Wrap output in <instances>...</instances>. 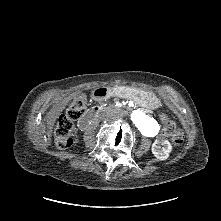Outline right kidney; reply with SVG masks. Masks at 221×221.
I'll return each mask as SVG.
<instances>
[{
  "label": "right kidney",
  "mask_w": 221,
  "mask_h": 221,
  "mask_svg": "<svg viewBox=\"0 0 221 221\" xmlns=\"http://www.w3.org/2000/svg\"><path fill=\"white\" fill-rule=\"evenodd\" d=\"M76 143L78 142V139H76V141H75Z\"/></svg>",
  "instance_id": "ca27d5eb"
}]
</instances>
